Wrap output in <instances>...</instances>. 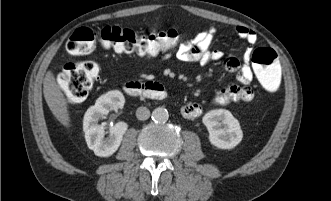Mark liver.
Segmentation results:
<instances>
[{"label": "liver", "instance_id": "6515ba94", "mask_svg": "<svg viewBox=\"0 0 331 201\" xmlns=\"http://www.w3.org/2000/svg\"><path fill=\"white\" fill-rule=\"evenodd\" d=\"M45 101L55 118L65 127H70L68 104L61 89L56 83L54 74L48 71L43 81Z\"/></svg>", "mask_w": 331, "mask_h": 201}]
</instances>
